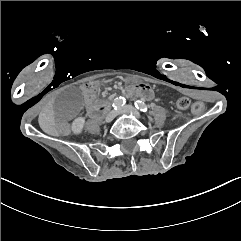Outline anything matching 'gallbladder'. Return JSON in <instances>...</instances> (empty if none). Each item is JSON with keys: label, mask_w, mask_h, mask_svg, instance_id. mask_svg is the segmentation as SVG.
Here are the masks:
<instances>
[{"label": "gallbladder", "mask_w": 241, "mask_h": 241, "mask_svg": "<svg viewBox=\"0 0 241 241\" xmlns=\"http://www.w3.org/2000/svg\"><path fill=\"white\" fill-rule=\"evenodd\" d=\"M54 109L56 116L61 121H66L75 116L82 105L80 91L75 86L66 88L55 98Z\"/></svg>", "instance_id": "bac80fb5"}]
</instances>
